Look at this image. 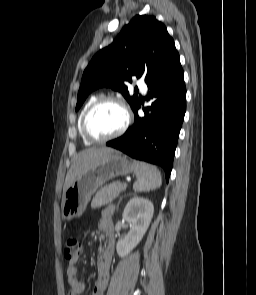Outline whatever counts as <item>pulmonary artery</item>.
<instances>
[{
	"label": "pulmonary artery",
	"instance_id": "e3ab8cb5",
	"mask_svg": "<svg viewBox=\"0 0 256 295\" xmlns=\"http://www.w3.org/2000/svg\"><path fill=\"white\" fill-rule=\"evenodd\" d=\"M136 84L138 85V87H139L142 91H145L146 88H147V86H146V84H145V82H144L143 79H138V80L136 81Z\"/></svg>",
	"mask_w": 256,
	"mask_h": 295
}]
</instances>
